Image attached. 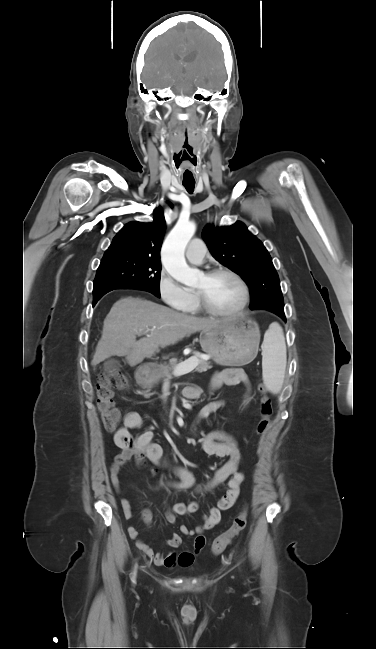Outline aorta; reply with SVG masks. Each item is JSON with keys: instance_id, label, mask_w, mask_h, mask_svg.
<instances>
[{"instance_id": "762f6f07", "label": "aorta", "mask_w": 376, "mask_h": 649, "mask_svg": "<svg viewBox=\"0 0 376 649\" xmlns=\"http://www.w3.org/2000/svg\"><path fill=\"white\" fill-rule=\"evenodd\" d=\"M195 230V223L179 219L162 247L164 268L174 279L187 285L196 282L200 273L188 266L184 256L185 248Z\"/></svg>"}]
</instances>
